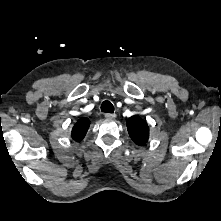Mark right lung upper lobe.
Wrapping results in <instances>:
<instances>
[{
    "label": "right lung upper lobe",
    "mask_w": 221,
    "mask_h": 221,
    "mask_svg": "<svg viewBox=\"0 0 221 221\" xmlns=\"http://www.w3.org/2000/svg\"><path fill=\"white\" fill-rule=\"evenodd\" d=\"M89 126L88 118H80L72 129V138L77 142L81 141L85 137Z\"/></svg>",
    "instance_id": "obj_1"
}]
</instances>
